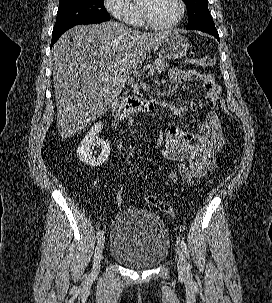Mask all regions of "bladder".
<instances>
[{"instance_id": "31cf9c89", "label": "bladder", "mask_w": 272, "mask_h": 303, "mask_svg": "<svg viewBox=\"0 0 272 303\" xmlns=\"http://www.w3.org/2000/svg\"><path fill=\"white\" fill-rule=\"evenodd\" d=\"M170 238L163 220L142 208L118 212L110 226L109 253L133 269H149L162 263L169 252Z\"/></svg>"}]
</instances>
